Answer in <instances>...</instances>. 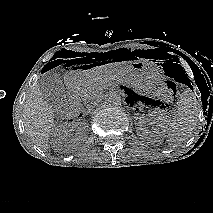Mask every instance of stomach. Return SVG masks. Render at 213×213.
I'll return each mask as SVG.
<instances>
[{
	"instance_id": "1",
	"label": "stomach",
	"mask_w": 213,
	"mask_h": 213,
	"mask_svg": "<svg viewBox=\"0 0 213 213\" xmlns=\"http://www.w3.org/2000/svg\"><path fill=\"white\" fill-rule=\"evenodd\" d=\"M118 75L145 90L155 88L162 81L158 65L146 60H137L127 64L112 63L110 65H99L84 72L70 74L67 77V82L70 85L87 84L93 80H101L104 76L111 77Z\"/></svg>"
}]
</instances>
